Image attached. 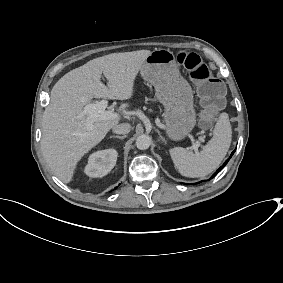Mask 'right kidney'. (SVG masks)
I'll use <instances>...</instances> for the list:
<instances>
[{
    "instance_id": "1",
    "label": "right kidney",
    "mask_w": 283,
    "mask_h": 283,
    "mask_svg": "<svg viewBox=\"0 0 283 283\" xmlns=\"http://www.w3.org/2000/svg\"><path fill=\"white\" fill-rule=\"evenodd\" d=\"M116 160L117 152L114 149L96 152L89 158L86 174L91 177L104 176L115 166Z\"/></svg>"
}]
</instances>
